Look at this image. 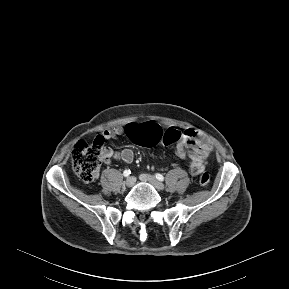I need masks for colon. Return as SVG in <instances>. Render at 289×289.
I'll return each instance as SVG.
<instances>
[{
	"label": "colon",
	"mask_w": 289,
	"mask_h": 289,
	"mask_svg": "<svg viewBox=\"0 0 289 289\" xmlns=\"http://www.w3.org/2000/svg\"><path fill=\"white\" fill-rule=\"evenodd\" d=\"M126 133L130 139L141 146L152 147L162 143L169 145L181 140L183 134L177 129L163 130L160 125L150 123L145 126L130 125L126 128ZM103 140L98 137L92 144L79 141L75 144L71 161L77 176L86 183L92 182L98 174L100 162L103 156ZM210 182V175L202 173L199 183L202 186Z\"/></svg>",
	"instance_id": "obj_1"
}]
</instances>
